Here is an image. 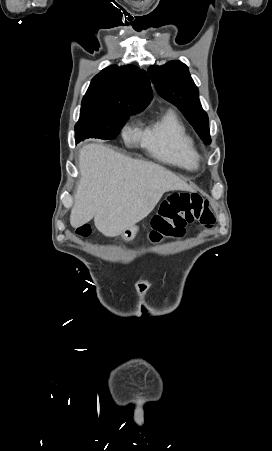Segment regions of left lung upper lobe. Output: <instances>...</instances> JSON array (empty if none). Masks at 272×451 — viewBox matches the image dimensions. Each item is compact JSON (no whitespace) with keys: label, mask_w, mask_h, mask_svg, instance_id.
<instances>
[{"label":"left lung upper lobe","mask_w":272,"mask_h":451,"mask_svg":"<svg viewBox=\"0 0 272 451\" xmlns=\"http://www.w3.org/2000/svg\"><path fill=\"white\" fill-rule=\"evenodd\" d=\"M149 73L158 94L173 103L184 114L201 139L209 144V122L199 101V91L188 67L180 61L149 67Z\"/></svg>","instance_id":"5c2ea615"}]
</instances>
